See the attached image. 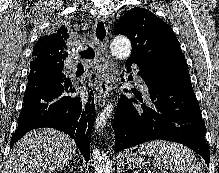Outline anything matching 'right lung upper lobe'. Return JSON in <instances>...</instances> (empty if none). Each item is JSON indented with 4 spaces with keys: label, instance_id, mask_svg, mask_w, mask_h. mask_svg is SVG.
Instances as JSON below:
<instances>
[{
    "label": "right lung upper lobe",
    "instance_id": "cb5924a9",
    "mask_svg": "<svg viewBox=\"0 0 219 173\" xmlns=\"http://www.w3.org/2000/svg\"><path fill=\"white\" fill-rule=\"evenodd\" d=\"M67 29L62 26L58 33L41 37L33 49V60L30 62L32 70L47 66H63L68 55L65 40L69 38Z\"/></svg>",
    "mask_w": 219,
    "mask_h": 173
}]
</instances>
